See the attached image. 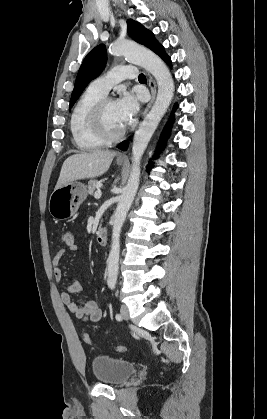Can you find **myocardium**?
<instances>
[{
	"mask_svg": "<svg viewBox=\"0 0 267 419\" xmlns=\"http://www.w3.org/2000/svg\"><path fill=\"white\" fill-rule=\"evenodd\" d=\"M114 101L111 97H103L93 107L90 122L94 133L105 143L114 142L121 139L126 133L127 128L124 127L118 132H110L105 124V109L108 103Z\"/></svg>",
	"mask_w": 267,
	"mask_h": 419,
	"instance_id": "myocardium-1",
	"label": "myocardium"
}]
</instances>
